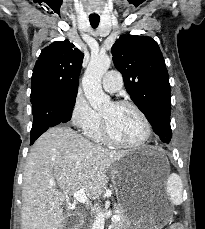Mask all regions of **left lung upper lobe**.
Listing matches in <instances>:
<instances>
[{"label": "left lung upper lobe", "mask_w": 205, "mask_h": 229, "mask_svg": "<svg viewBox=\"0 0 205 229\" xmlns=\"http://www.w3.org/2000/svg\"><path fill=\"white\" fill-rule=\"evenodd\" d=\"M111 52L130 98L160 139L169 143L172 137L170 84L157 42L146 36L122 35Z\"/></svg>", "instance_id": "1"}]
</instances>
